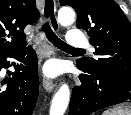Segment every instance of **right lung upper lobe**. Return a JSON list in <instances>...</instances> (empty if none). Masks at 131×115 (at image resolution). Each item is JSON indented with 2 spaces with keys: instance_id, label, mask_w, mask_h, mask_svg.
I'll return each instance as SVG.
<instances>
[{
  "instance_id": "obj_1",
  "label": "right lung upper lobe",
  "mask_w": 131,
  "mask_h": 115,
  "mask_svg": "<svg viewBox=\"0 0 131 115\" xmlns=\"http://www.w3.org/2000/svg\"><path fill=\"white\" fill-rule=\"evenodd\" d=\"M39 15L35 0H0V55L25 47L24 28Z\"/></svg>"
}]
</instances>
